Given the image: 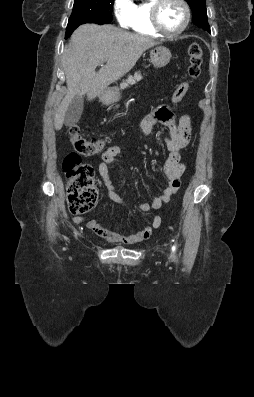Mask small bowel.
<instances>
[{
    "instance_id": "1",
    "label": "small bowel",
    "mask_w": 254,
    "mask_h": 397,
    "mask_svg": "<svg viewBox=\"0 0 254 397\" xmlns=\"http://www.w3.org/2000/svg\"><path fill=\"white\" fill-rule=\"evenodd\" d=\"M157 123L165 126L169 131V136L162 139L164 146L169 151L168 158L163 166L166 184L160 189L158 195L154 197L151 203H141L137 206V209L144 213L159 209L180 188L181 176L186 169L181 150L188 145L191 138L189 116L185 114L177 115L164 104L157 106L143 118L140 127L141 134L144 137H148L152 132L153 126ZM121 151L122 148L120 146H112L102 153L101 162L98 165V172L103 181L100 199L106 196L116 204L122 207H128L114 186L109 170V165L115 161ZM83 221V217L74 218L76 224H81ZM160 223V217L156 216L153 218L151 224L144 229L126 235L118 232L117 228L108 226L95 219L89 220L87 227L109 243L134 244L148 239L152 235L153 230L160 226Z\"/></svg>"
}]
</instances>
